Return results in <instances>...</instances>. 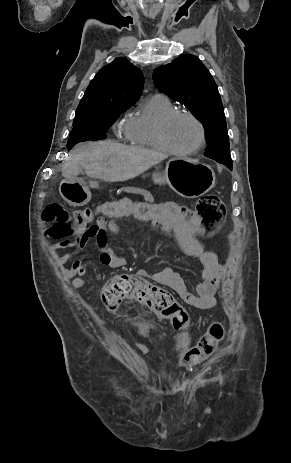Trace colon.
I'll return each mask as SVG.
<instances>
[{"mask_svg": "<svg viewBox=\"0 0 291 463\" xmlns=\"http://www.w3.org/2000/svg\"><path fill=\"white\" fill-rule=\"evenodd\" d=\"M101 210L107 212L109 217H130L133 211L139 218H145L146 222L155 226H177L182 231H200L203 234L216 231L225 217V207L215 194L201 197L195 208L176 201L156 202L153 205L120 202L104 206ZM96 213L91 209L70 212L62 204H48L42 212V218L51 226L43 231V238L47 242L57 239L61 246L68 247L72 244L71 239H77L87 230ZM124 299H134L171 319L175 329L180 332L176 340V355L184 366L193 367L201 363L214 352L223 337L222 326L213 323L194 346H189L186 331L190 319L187 312L169 292L144 278L120 274L106 282L102 300L109 309H115Z\"/></svg>", "mask_w": 291, "mask_h": 463, "instance_id": "1", "label": "colon"}]
</instances>
